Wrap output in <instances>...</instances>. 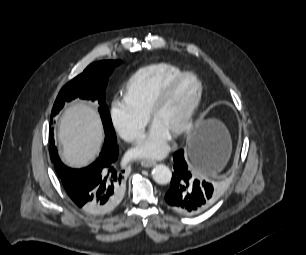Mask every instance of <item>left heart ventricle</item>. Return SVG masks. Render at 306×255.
Here are the masks:
<instances>
[{
	"label": "left heart ventricle",
	"instance_id": "b2bd125f",
	"mask_svg": "<svg viewBox=\"0 0 306 255\" xmlns=\"http://www.w3.org/2000/svg\"><path fill=\"white\" fill-rule=\"evenodd\" d=\"M198 92V85L192 78L186 79L173 92L167 102L156 114L153 123L171 134L186 116Z\"/></svg>",
	"mask_w": 306,
	"mask_h": 255
}]
</instances>
